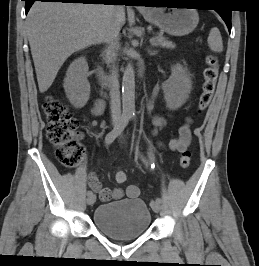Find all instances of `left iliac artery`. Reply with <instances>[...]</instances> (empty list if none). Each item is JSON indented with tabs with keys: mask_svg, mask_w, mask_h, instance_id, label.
<instances>
[{
	"mask_svg": "<svg viewBox=\"0 0 259 266\" xmlns=\"http://www.w3.org/2000/svg\"><path fill=\"white\" fill-rule=\"evenodd\" d=\"M133 116H134V114H133ZM133 116H132V117H133ZM136 154H137V155H140L142 161L147 165L148 162H147L146 159L143 157V155L140 154V151H139L138 146H136ZM153 166H154V164H153ZM152 168H154V167H152ZM156 201L159 202V203H161V199H160V198H156Z\"/></svg>",
	"mask_w": 259,
	"mask_h": 266,
	"instance_id": "obj_1",
	"label": "left iliac artery"
}]
</instances>
